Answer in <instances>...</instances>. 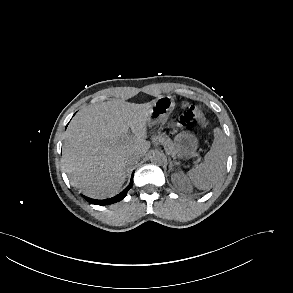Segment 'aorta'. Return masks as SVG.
<instances>
[{"mask_svg": "<svg viewBox=\"0 0 293 293\" xmlns=\"http://www.w3.org/2000/svg\"><path fill=\"white\" fill-rule=\"evenodd\" d=\"M165 156L162 153L155 152L151 156V162L154 164H163Z\"/></svg>", "mask_w": 293, "mask_h": 293, "instance_id": "1", "label": "aorta"}]
</instances>
